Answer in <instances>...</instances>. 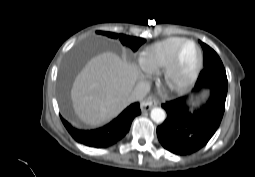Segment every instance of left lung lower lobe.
<instances>
[{"instance_id": "0a47b994", "label": "left lung lower lobe", "mask_w": 255, "mask_h": 177, "mask_svg": "<svg viewBox=\"0 0 255 177\" xmlns=\"http://www.w3.org/2000/svg\"><path fill=\"white\" fill-rule=\"evenodd\" d=\"M210 89L208 101L201 108L189 111L188 96L162 104L167 118L157 127L161 145L176 155H190L203 148L218 129L225 111L228 85L219 83L196 84L192 93Z\"/></svg>"}]
</instances>
